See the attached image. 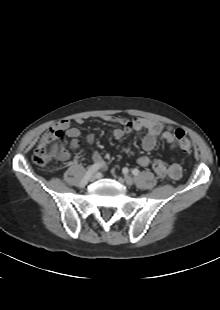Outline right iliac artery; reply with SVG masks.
<instances>
[{
  "label": "right iliac artery",
  "instance_id": "1",
  "mask_svg": "<svg viewBox=\"0 0 220 310\" xmlns=\"http://www.w3.org/2000/svg\"><path fill=\"white\" fill-rule=\"evenodd\" d=\"M99 168H100V165H99V164H93V165H91V166L88 168L87 172L85 173V176L83 177V179L80 181L79 187H80V188H83V187L87 184L89 177H90L93 173H95Z\"/></svg>",
  "mask_w": 220,
  "mask_h": 310
}]
</instances>
